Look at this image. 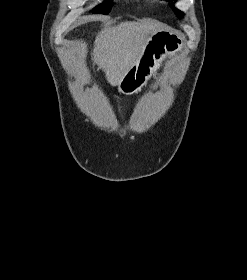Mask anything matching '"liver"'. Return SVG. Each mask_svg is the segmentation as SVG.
Segmentation results:
<instances>
[{"label":"liver","instance_id":"1","mask_svg":"<svg viewBox=\"0 0 247 280\" xmlns=\"http://www.w3.org/2000/svg\"><path fill=\"white\" fill-rule=\"evenodd\" d=\"M161 31L148 22H122L109 26L95 39L93 61L102 69L107 81L117 86L129 69L140 59L150 35Z\"/></svg>","mask_w":247,"mask_h":280}]
</instances>
